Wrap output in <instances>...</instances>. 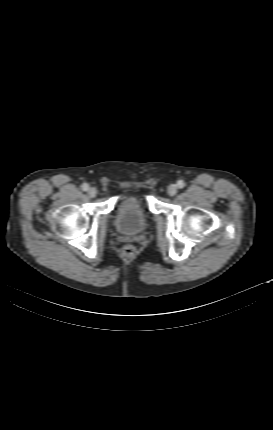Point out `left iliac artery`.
Segmentation results:
<instances>
[{"label":"left iliac artery","mask_w":273,"mask_h":430,"mask_svg":"<svg viewBox=\"0 0 273 430\" xmlns=\"http://www.w3.org/2000/svg\"><path fill=\"white\" fill-rule=\"evenodd\" d=\"M177 185L179 188H183L185 186V183H184V181L180 180V181H178Z\"/></svg>","instance_id":"obj_1"}]
</instances>
